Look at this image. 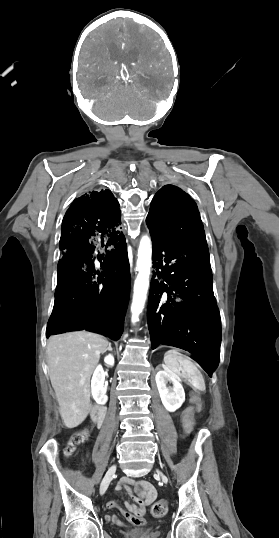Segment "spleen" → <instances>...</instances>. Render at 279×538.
I'll return each mask as SVG.
<instances>
[{"label": "spleen", "mask_w": 279, "mask_h": 538, "mask_svg": "<svg viewBox=\"0 0 279 538\" xmlns=\"http://www.w3.org/2000/svg\"><path fill=\"white\" fill-rule=\"evenodd\" d=\"M179 352L180 350L174 348V350H169V352L164 354V364L166 368H169V370H172L175 374H180V372H182L180 376H184V378L194 379L193 382H191V387L196 388L195 392L197 394L205 393L204 380L202 379L199 370H197L190 358L183 356V354H179Z\"/></svg>", "instance_id": "spleen-1"}]
</instances>
